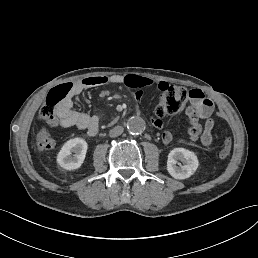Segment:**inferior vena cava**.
Returning <instances> with one entry per match:
<instances>
[{
    "instance_id": "1",
    "label": "inferior vena cava",
    "mask_w": 258,
    "mask_h": 258,
    "mask_svg": "<svg viewBox=\"0 0 258 258\" xmlns=\"http://www.w3.org/2000/svg\"><path fill=\"white\" fill-rule=\"evenodd\" d=\"M124 128L122 126H116L109 131L110 137H117L123 133Z\"/></svg>"
}]
</instances>
